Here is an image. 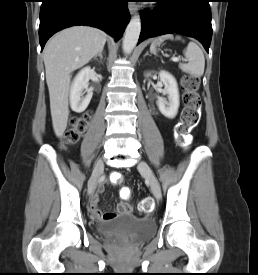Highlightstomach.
<instances>
[{
	"label": "stomach",
	"instance_id": "stomach-1",
	"mask_svg": "<svg viewBox=\"0 0 258 275\" xmlns=\"http://www.w3.org/2000/svg\"><path fill=\"white\" fill-rule=\"evenodd\" d=\"M156 41H157V44H159L160 42H162V39L159 38V39H156Z\"/></svg>",
	"mask_w": 258,
	"mask_h": 275
}]
</instances>
